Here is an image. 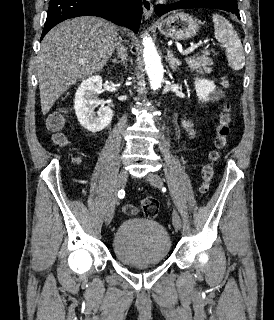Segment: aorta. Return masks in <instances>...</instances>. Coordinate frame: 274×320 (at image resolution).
I'll return each instance as SVG.
<instances>
[{
	"instance_id": "762f6f07",
	"label": "aorta",
	"mask_w": 274,
	"mask_h": 320,
	"mask_svg": "<svg viewBox=\"0 0 274 320\" xmlns=\"http://www.w3.org/2000/svg\"><path fill=\"white\" fill-rule=\"evenodd\" d=\"M143 46L145 69L149 77L150 85L153 90H157L161 87L163 82L164 70L161 63V58L150 37L145 36L143 38Z\"/></svg>"
}]
</instances>
